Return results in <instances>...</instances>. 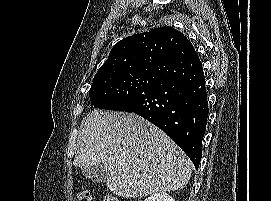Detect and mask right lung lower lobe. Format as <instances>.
Returning a JSON list of instances; mask_svg holds the SVG:
<instances>
[{"label": "right lung lower lobe", "instance_id": "obj_1", "mask_svg": "<svg viewBox=\"0 0 271 201\" xmlns=\"http://www.w3.org/2000/svg\"><path fill=\"white\" fill-rule=\"evenodd\" d=\"M152 74L150 87L118 111L134 112L161 128L198 169L209 110L202 64L190 41L180 42Z\"/></svg>", "mask_w": 271, "mask_h": 201}]
</instances>
